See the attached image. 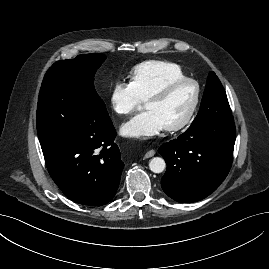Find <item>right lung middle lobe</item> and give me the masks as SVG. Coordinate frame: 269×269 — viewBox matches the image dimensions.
Instances as JSON below:
<instances>
[{"label": "right lung middle lobe", "instance_id": "dd1d6c3e", "mask_svg": "<svg viewBox=\"0 0 269 269\" xmlns=\"http://www.w3.org/2000/svg\"><path fill=\"white\" fill-rule=\"evenodd\" d=\"M105 59L104 54L79 55L58 61L47 71L36 118L41 145L111 122L93 84L96 70Z\"/></svg>", "mask_w": 269, "mask_h": 269}]
</instances>
